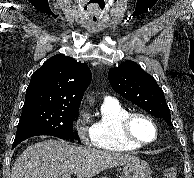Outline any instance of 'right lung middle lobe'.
<instances>
[{
	"mask_svg": "<svg viewBox=\"0 0 194 178\" xmlns=\"http://www.w3.org/2000/svg\"><path fill=\"white\" fill-rule=\"evenodd\" d=\"M78 109L49 99L25 100L16 137L38 134L74 139L73 120Z\"/></svg>",
	"mask_w": 194,
	"mask_h": 178,
	"instance_id": "1",
	"label": "right lung middle lobe"
}]
</instances>
